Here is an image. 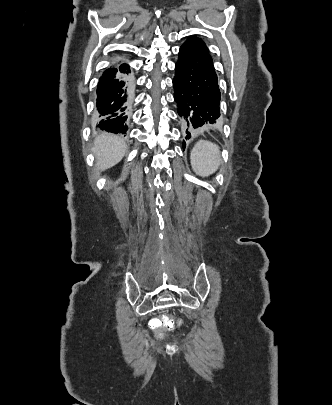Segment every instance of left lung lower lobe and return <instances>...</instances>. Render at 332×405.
Masks as SVG:
<instances>
[{"instance_id": "obj_1", "label": "left lung lower lobe", "mask_w": 332, "mask_h": 405, "mask_svg": "<svg viewBox=\"0 0 332 405\" xmlns=\"http://www.w3.org/2000/svg\"><path fill=\"white\" fill-rule=\"evenodd\" d=\"M174 99L186 139L220 117V90L212 58L183 44L175 64ZM185 146V142L183 143Z\"/></svg>"}]
</instances>
